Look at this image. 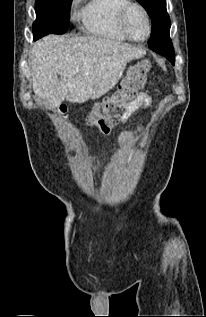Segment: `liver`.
<instances>
[{"instance_id":"1","label":"liver","mask_w":206,"mask_h":317,"mask_svg":"<svg viewBox=\"0 0 206 317\" xmlns=\"http://www.w3.org/2000/svg\"><path fill=\"white\" fill-rule=\"evenodd\" d=\"M145 53L140 47L97 36H46L33 44L30 53L33 91L52 107L65 99L71 103L98 99L116 85L129 61Z\"/></svg>"}]
</instances>
